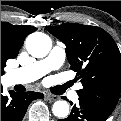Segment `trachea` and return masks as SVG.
<instances>
[{
  "instance_id": "trachea-1",
  "label": "trachea",
  "mask_w": 121,
  "mask_h": 121,
  "mask_svg": "<svg viewBox=\"0 0 121 121\" xmlns=\"http://www.w3.org/2000/svg\"><path fill=\"white\" fill-rule=\"evenodd\" d=\"M71 85V82H68L62 86L57 87V93L62 94L69 86Z\"/></svg>"
}]
</instances>
